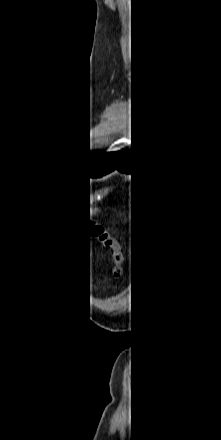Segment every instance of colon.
I'll use <instances>...</instances> for the list:
<instances>
[{"label":"colon","mask_w":221,"mask_h":440,"mask_svg":"<svg viewBox=\"0 0 221 440\" xmlns=\"http://www.w3.org/2000/svg\"><path fill=\"white\" fill-rule=\"evenodd\" d=\"M90 233L92 238L97 241L101 246L109 248L113 255V276L116 281H119L122 277L125 264V253L120 241L110 238L107 232L100 222H90Z\"/></svg>","instance_id":"5ec220e1"}]
</instances>
